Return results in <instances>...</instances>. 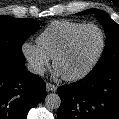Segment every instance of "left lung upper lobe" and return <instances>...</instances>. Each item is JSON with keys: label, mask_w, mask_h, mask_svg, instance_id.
<instances>
[{"label": "left lung upper lobe", "mask_w": 119, "mask_h": 119, "mask_svg": "<svg viewBox=\"0 0 119 119\" xmlns=\"http://www.w3.org/2000/svg\"><path fill=\"white\" fill-rule=\"evenodd\" d=\"M90 13L96 15L103 25L107 37L103 55L90 73L103 75L119 67V25L107 13L97 9H89L78 15Z\"/></svg>", "instance_id": "left-lung-upper-lobe-1"}]
</instances>
